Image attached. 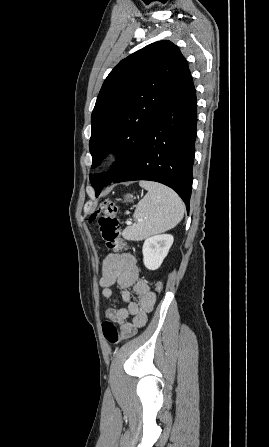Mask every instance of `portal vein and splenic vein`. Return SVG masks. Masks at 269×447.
<instances>
[{"label": "portal vein and splenic vein", "mask_w": 269, "mask_h": 447, "mask_svg": "<svg viewBox=\"0 0 269 447\" xmlns=\"http://www.w3.org/2000/svg\"><path fill=\"white\" fill-rule=\"evenodd\" d=\"M138 222H142V220H138Z\"/></svg>", "instance_id": "obj_1"}]
</instances>
